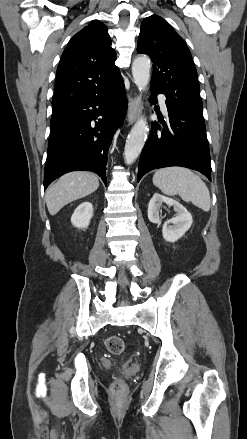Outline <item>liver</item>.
<instances>
[{
	"label": "liver",
	"instance_id": "1",
	"mask_svg": "<svg viewBox=\"0 0 247 439\" xmlns=\"http://www.w3.org/2000/svg\"><path fill=\"white\" fill-rule=\"evenodd\" d=\"M99 187L97 176L86 171H74L60 177L46 192L49 213L57 214L65 205L86 197Z\"/></svg>",
	"mask_w": 247,
	"mask_h": 439
}]
</instances>
